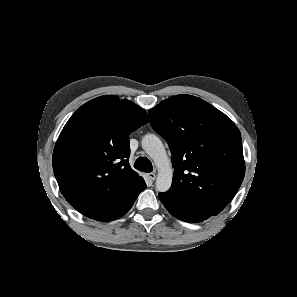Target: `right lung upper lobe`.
Returning <instances> with one entry per match:
<instances>
[{"mask_svg":"<svg viewBox=\"0 0 297 297\" xmlns=\"http://www.w3.org/2000/svg\"><path fill=\"white\" fill-rule=\"evenodd\" d=\"M148 121L144 109L114 95L97 97L71 116L52 161L60 191L77 211L107 221L145 183L130 167L129 135Z\"/></svg>","mask_w":297,"mask_h":297,"instance_id":"cb5924a9","label":"right lung upper lobe"}]
</instances>
